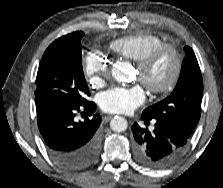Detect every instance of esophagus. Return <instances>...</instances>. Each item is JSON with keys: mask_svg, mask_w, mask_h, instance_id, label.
I'll return each instance as SVG.
<instances>
[{"mask_svg": "<svg viewBox=\"0 0 223 188\" xmlns=\"http://www.w3.org/2000/svg\"><path fill=\"white\" fill-rule=\"evenodd\" d=\"M112 117H113L112 115L105 116V117H103V121L107 122L110 119H112Z\"/></svg>", "mask_w": 223, "mask_h": 188, "instance_id": "esophagus-1", "label": "esophagus"}]
</instances>
